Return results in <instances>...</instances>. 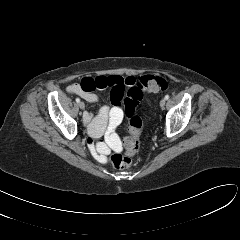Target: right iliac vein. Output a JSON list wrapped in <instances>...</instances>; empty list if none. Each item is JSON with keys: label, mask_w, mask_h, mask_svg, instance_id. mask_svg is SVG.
Masks as SVG:
<instances>
[{"label": "right iliac vein", "mask_w": 240, "mask_h": 240, "mask_svg": "<svg viewBox=\"0 0 240 240\" xmlns=\"http://www.w3.org/2000/svg\"><path fill=\"white\" fill-rule=\"evenodd\" d=\"M79 108L82 110L85 108L84 102H79Z\"/></svg>", "instance_id": "1"}]
</instances>
